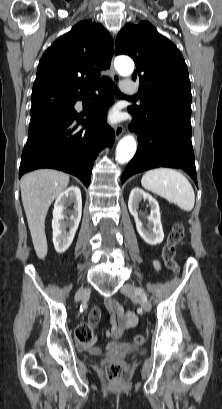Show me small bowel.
I'll list each match as a JSON object with an SVG mask.
<instances>
[{
    "label": "small bowel",
    "instance_id": "1",
    "mask_svg": "<svg viewBox=\"0 0 222 409\" xmlns=\"http://www.w3.org/2000/svg\"><path fill=\"white\" fill-rule=\"evenodd\" d=\"M154 266L155 268L159 269L160 263L157 260H155ZM105 304L114 313L116 318L112 327L105 333L108 338L112 339V341L109 342L104 347L106 351H109L123 339L127 330H129L130 328L134 327L137 324L138 319L134 312L125 310L122 304L116 299L108 298L106 299ZM100 315L101 313L98 308H93L91 310L87 323L92 329V331L96 328L98 321L100 319ZM95 341L96 337L93 334L92 342L90 344H81V346L89 353L93 355H99L102 353V348L95 346L94 345Z\"/></svg>",
    "mask_w": 222,
    "mask_h": 409
}]
</instances>
